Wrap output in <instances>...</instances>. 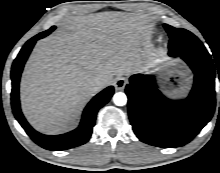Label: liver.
<instances>
[{
  "mask_svg": "<svg viewBox=\"0 0 220 173\" xmlns=\"http://www.w3.org/2000/svg\"><path fill=\"white\" fill-rule=\"evenodd\" d=\"M145 16L97 13L40 40L22 74L20 97L28 121L55 133L74 124L84 105L101 89L92 83L134 70L140 39L149 33Z\"/></svg>",
  "mask_w": 220,
  "mask_h": 173,
  "instance_id": "liver-1",
  "label": "liver"
}]
</instances>
